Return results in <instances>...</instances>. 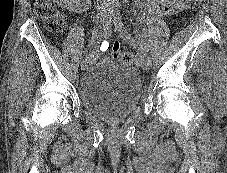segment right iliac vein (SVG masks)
Here are the masks:
<instances>
[{"label":"right iliac vein","mask_w":227,"mask_h":173,"mask_svg":"<svg viewBox=\"0 0 227 173\" xmlns=\"http://www.w3.org/2000/svg\"><path fill=\"white\" fill-rule=\"evenodd\" d=\"M110 19V14L105 11H99L97 13V22L99 25H105V23ZM88 67V61L85 59L81 62V69L85 70Z\"/></svg>","instance_id":"63e3f726"}]
</instances>
